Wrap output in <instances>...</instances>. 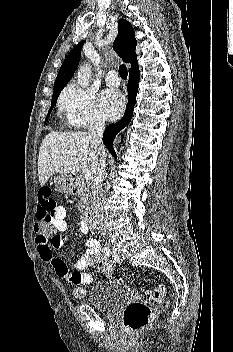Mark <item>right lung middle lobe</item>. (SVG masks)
Masks as SVG:
<instances>
[{"instance_id":"dd1d6c3e","label":"right lung middle lobe","mask_w":233,"mask_h":352,"mask_svg":"<svg viewBox=\"0 0 233 352\" xmlns=\"http://www.w3.org/2000/svg\"><path fill=\"white\" fill-rule=\"evenodd\" d=\"M62 89L63 88H59V89H55L54 90V93H53V96H52V100H51V108L49 109V112H48L46 118H48L50 116V113H51L53 107L56 105L58 96H59V94H60Z\"/></svg>"}]
</instances>
